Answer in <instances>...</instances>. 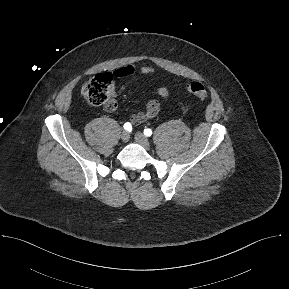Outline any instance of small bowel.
<instances>
[{"label":"small bowel","mask_w":289,"mask_h":289,"mask_svg":"<svg viewBox=\"0 0 289 289\" xmlns=\"http://www.w3.org/2000/svg\"><path fill=\"white\" fill-rule=\"evenodd\" d=\"M155 72L154 68L151 66H142V67H137L135 65H127L118 68L114 72V76L117 78H127V77H132L135 75H150ZM123 85L113 88L112 89V94L113 96H116L122 89ZM157 95L161 99H168L170 96L169 90L165 87H161L157 90ZM160 110V104L157 100H151L147 103L145 109L139 113H136L131 116L130 121L134 125H139L145 121H148L152 118H154Z\"/></svg>","instance_id":"c3829d8e"}]
</instances>
